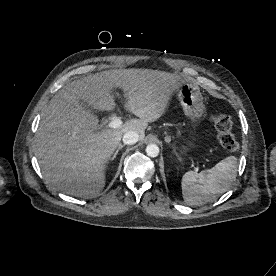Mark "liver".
<instances>
[{
    "label": "liver",
    "instance_id": "1",
    "mask_svg": "<svg viewBox=\"0 0 276 276\" xmlns=\"http://www.w3.org/2000/svg\"><path fill=\"white\" fill-rule=\"evenodd\" d=\"M186 80L152 69L102 71L63 86L41 114L35 154L45 180L63 193L94 198L105 186V169L127 131L145 137L148 123L166 111L171 96ZM113 88L128 99L125 108L139 119L127 120L116 129L95 132L99 120L80 101L93 109L115 107Z\"/></svg>",
    "mask_w": 276,
    "mask_h": 276
}]
</instances>
